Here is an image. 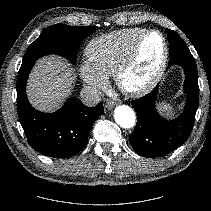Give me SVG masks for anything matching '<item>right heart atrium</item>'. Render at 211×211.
<instances>
[{"label":"right heart atrium","mask_w":211,"mask_h":211,"mask_svg":"<svg viewBox=\"0 0 211 211\" xmlns=\"http://www.w3.org/2000/svg\"><path fill=\"white\" fill-rule=\"evenodd\" d=\"M79 74L87 88L94 94H98L107 85V78L100 74L89 61L80 63Z\"/></svg>","instance_id":"obj_1"}]
</instances>
